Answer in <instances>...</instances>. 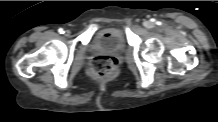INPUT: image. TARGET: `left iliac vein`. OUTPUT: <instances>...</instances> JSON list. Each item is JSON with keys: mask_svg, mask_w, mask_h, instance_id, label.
Here are the masks:
<instances>
[{"mask_svg": "<svg viewBox=\"0 0 218 122\" xmlns=\"http://www.w3.org/2000/svg\"><path fill=\"white\" fill-rule=\"evenodd\" d=\"M144 26L146 28H151L153 26V24L151 22L147 21V22L144 23Z\"/></svg>", "mask_w": 218, "mask_h": 122, "instance_id": "left-iliac-vein-1", "label": "left iliac vein"}]
</instances>
